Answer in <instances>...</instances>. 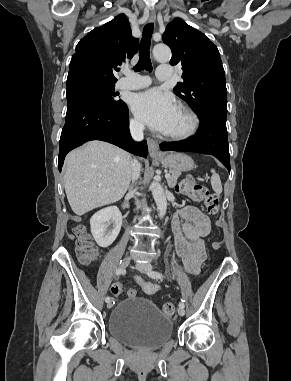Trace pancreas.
<instances>
[{
	"mask_svg": "<svg viewBox=\"0 0 291 381\" xmlns=\"http://www.w3.org/2000/svg\"><path fill=\"white\" fill-rule=\"evenodd\" d=\"M169 173H170V177L167 179L168 185L170 187H174L176 182H177L178 177L181 175V171L170 170Z\"/></svg>",
	"mask_w": 291,
	"mask_h": 381,
	"instance_id": "pancreas-1",
	"label": "pancreas"
}]
</instances>
